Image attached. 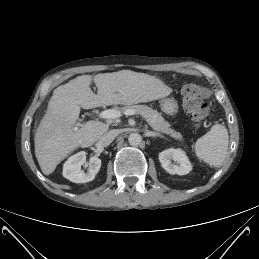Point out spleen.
Masks as SVG:
<instances>
[{"mask_svg":"<svg viewBox=\"0 0 259 259\" xmlns=\"http://www.w3.org/2000/svg\"><path fill=\"white\" fill-rule=\"evenodd\" d=\"M229 143V135L226 127L222 124H215L210 131L200 137L195 145L196 156L210 165L217 167L224 161Z\"/></svg>","mask_w":259,"mask_h":259,"instance_id":"spleen-1","label":"spleen"}]
</instances>
